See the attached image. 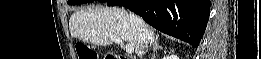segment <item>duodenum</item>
Here are the masks:
<instances>
[{
    "instance_id": "1",
    "label": "duodenum",
    "mask_w": 261,
    "mask_h": 59,
    "mask_svg": "<svg viewBox=\"0 0 261 59\" xmlns=\"http://www.w3.org/2000/svg\"><path fill=\"white\" fill-rule=\"evenodd\" d=\"M110 59H127L128 57H125V56H121V55H118V54H111Z\"/></svg>"
}]
</instances>
